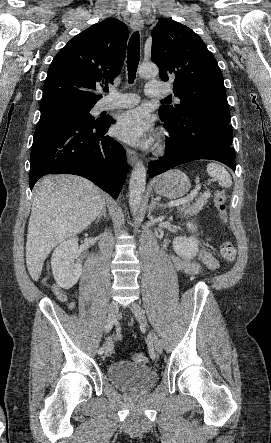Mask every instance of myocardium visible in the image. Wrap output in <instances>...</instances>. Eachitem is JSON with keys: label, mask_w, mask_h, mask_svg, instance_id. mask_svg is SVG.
Returning <instances> with one entry per match:
<instances>
[{"label": "myocardium", "mask_w": 271, "mask_h": 443, "mask_svg": "<svg viewBox=\"0 0 271 443\" xmlns=\"http://www.w3.org/2000/svg\"><path fill=\"white\" fill-rule=\"evenodd\" d=\"M167 142L163 139H158L156 145H155V151L157 154L162 155L167 150Z\"/></svg>", "instance_id": "1"}]
</instances>
